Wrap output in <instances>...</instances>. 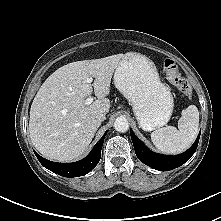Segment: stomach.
<instances>
[{"label":"stomach","mask_w":221,"mask_h":221,"mask_svg":"<svg viewBox=\"0 0 221 221\" xmlns=\"http://www.w3.org/2000/svg\"><path fill=\"white\" fill-rule=\"evenodd\" d=\"M114 84L130 102L143 130L152 131L168 123L174 107L173 96L148 57L126 53L116 67Z\"/></svg>","instance_id":"stomach-1"}]
</instances>
